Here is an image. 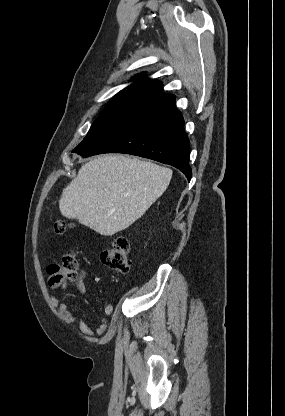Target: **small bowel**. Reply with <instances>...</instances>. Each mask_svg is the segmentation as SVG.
Wrapping results in <instances>:
<instances>
[{"instance_id": "small-bowel-1", "label": "small bowel", "mask_w": 285, "mask_h": 416, "mask_svg": "<svg viewBox=\"0 0 285 416\" xmlns=\"http://www.w3.org/2000/svg\"><path fill=\"white\" fill-rule=\"evenodd\" d=\"M77 288L81 294H86V286L82 280H80L77 284ZM51 302L53 306L57 310V314L59 318L67 323V324H77L81 333L87 337H92L94 335L93 330L89 327V325L82 319L76 317L69 307L58 299L56 296H51ZM103 311L106 316H109L113 312V306L109 302H103ZM108 327V321L106 318H102L99 324L96 327L95 333L96 335H102Z\"/></svg>"}]
</instances>
